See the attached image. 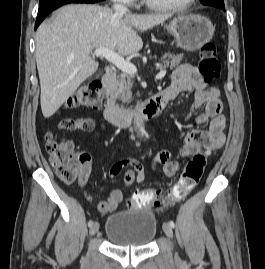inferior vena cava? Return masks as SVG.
Instances as JSON below:
<instances>
[{
  "label": "inferior vena cava",
  "instance_id": "1",
  "mask_svg": "<svg viewBox=\"0 0 265 269\" xmlns=\"http://www.w3.org/2000/svg\"><path fill=\"white\" fill-rule=\"evenodd\" d=\"M113 9H114L116 14H124V13L128 12L127 7H125L121 4H114Z\"/></svg>",
  "mask_w": 265,
  "mask_h": 269
}]
</instances>
